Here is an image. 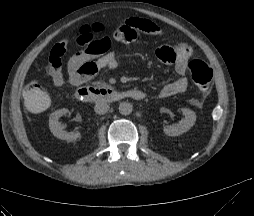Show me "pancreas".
<instances>
[{"mask_svg": "<svg viewBox=\"0 0 254 216\" xmlns=\"http://www.w3.org/2000/svg\"><path fill=\"white\" fill-rule=\"evenodd\" d=\"M95 85H98V86H102L104 85V83H101V82H94Z\"/></svg>", "mask_w": 254, "mask_h": 216, "instance_id": "pancreas-1", "label": "pancreas"}]
</instances>
